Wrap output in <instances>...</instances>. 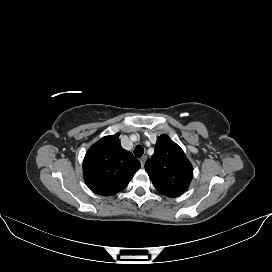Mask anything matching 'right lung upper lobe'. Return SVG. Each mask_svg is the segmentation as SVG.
Here are the masks:
<instances>
[{"instance_id": "obj_1", "label": "right lung upper lobe", "mask_w": 272, "mask_h": 272, "mask_svg": "<svg viewBox=\"0 0 272 272\" xmlns=\"http://www.w3.org/2000/svg\"><path fill=\"white\" fill-rule=\"evenodd\" d=\"M140 166L139 160L121 147L117 133L90 147L83 161V176L91 191L111 196L128 185Z\"/></svg>"}]
</instances>
